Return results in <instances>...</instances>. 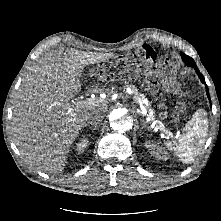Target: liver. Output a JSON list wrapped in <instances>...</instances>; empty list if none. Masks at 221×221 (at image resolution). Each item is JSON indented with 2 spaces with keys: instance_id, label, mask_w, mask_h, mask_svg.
<instances>
[{
  "instance_id": "liver-1",
  "label": "liver",
  "mask_w": 221,
  "mask_h": 221,
  "mask_svg": "<svg viewBox=\"0 0 221 221\" xmlns=\"http://www.w3.org/2000/svg\"><path fill=\"white\" fill-rule=\"evenodd\" d=\"M113 53L75 49L47 53L22 79L12 106L13 140L24 160L46 173H60L79 131L96 112L105 115L101 99L69 102L81 91L84 67L113 57Z\"/></svg>"
}]
</instances>
